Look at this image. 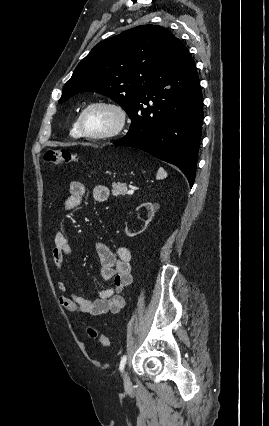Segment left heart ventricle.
I'll return each mask as SVG.
<instances>
[{"label": "left heart ventricle", "mask_w": 269, "mask_h": 426, "mask_svg": "<svg viewBox=\"0 0 269 426\" xmlns=\"http://www.w3.org/2000/svg\"><path fill=\"white\" fill-rule=\"evenodd\" d=\"M116 123L115 114L106 108L90 109L84 118V125L91 133H101L110 130Z\"/></svg>", "instance_id": "obj_1"}]
</instances>
